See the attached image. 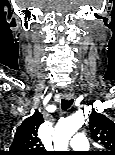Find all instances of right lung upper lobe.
I'll return each mask as SVG.
<instances>
[{"mask_svg": "<svg viewBox=\"0 0 115 155\" xmlns=\"http://www.w3.org/2000/svg\"><path fill=\"white\" fill-rule=\"evenodd\" d=\"M43 122V116L38 110L26 118L17 128L7 155H46V151L41 147L42 143L37 137L38 128Z\"/></svg>", "mask_w": 115, "mask_h": 155, "instance_id": "obj_1", "label": "right lung upper lobe"}]
</instances>
